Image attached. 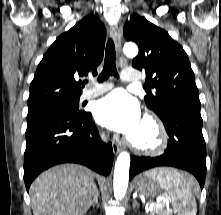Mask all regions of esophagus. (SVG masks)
I'll return each mask as SVG.
<instances>
[{
  "label": "esophagus",
  "mask_w": 221,
  "mask_h": 215,
  "mask_svg": "<svg viewBox=\"0 0 221 215\" xmlns=\"http://www.w3.org/2000/svg\"><path fill=\"white\" fill-rule=\"evenodd\" d=\"M111 35H112V38L114 40L115 47H116L118 65L119 67H122L125 62V59L121 53V32L117 24H114L111 27ZM112 148H113L114 154L116 155L122 150L121 146L115 141H113L112 143Z\"/></svg>",
  "instance_id": "34e87169"
}]
</instances>
